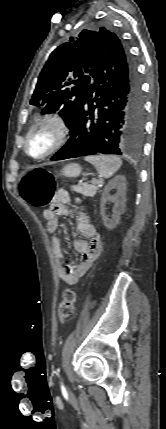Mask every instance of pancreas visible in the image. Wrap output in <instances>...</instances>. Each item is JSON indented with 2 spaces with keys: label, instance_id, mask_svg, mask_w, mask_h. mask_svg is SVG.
<instances>
[{
  "label": "pancreas",
  "instance_id": "pancreas-1",
  "mask_svg": "<svg viewBox=\"0 0 166 429\" xmlns=\"http://www.w3.org/2000/svg\"><path fill=\"white\" fill-rule=\"evenodd\" d=\"M98 189L99 188L97 186L89 184H79L72 187L73 191L81 193L87 197H93L98 191Z\"/></svg>",
  "mask_w": 166,
  "mask_h": 429
}]
</instances>
